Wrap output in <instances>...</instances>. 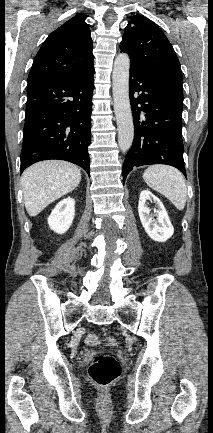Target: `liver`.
<instances>
[{"instance_id":"obj_1","label":"liver","mask_w":213,"mask_h":433,"mask_svg":"<svg viewBox=\"0 0 213 433\" xmlns=\"http://www.w3.org/2000/svg\"><path fill=\"white\" fill-rule=\"evenodd\" d=\"M80 181V169L66 161L47 160L28 167L21 177L28 214L38 215L50 203L74 190Z\"/></svg>"}]
</instances>
